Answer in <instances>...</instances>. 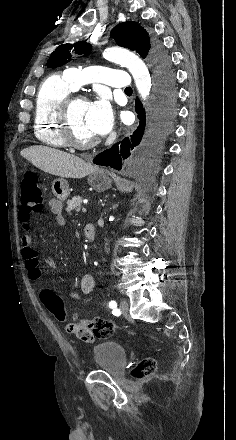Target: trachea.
<instances>
[{
    "label": "trachea",
    "instance_id": "trachea-1",
    "mask_svg": "<svg viewBox=\"0 0 236 440\" xmlns=\"http://www.w3.org/2000/svg\"><path fill=\"white\" fill-rule=\"evenodd\" d=\"M125 91H132V89L131 88H127V89H125Z\"/></svg>",
    "mask_w": 236,
    "mask_h": 440
}]
</instances>
